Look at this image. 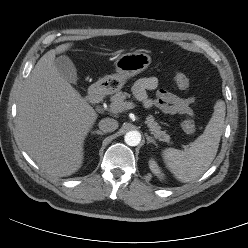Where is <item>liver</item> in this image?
Wrapping results in <instances>:
<instances>
[{
    "mask_svg": "<svg viewBox=\"0 0 248 248\" xmlns=\"http://www.w3.org/2000/svg\"><path fill=\"white\" fill-rule=\"evenodd\" d=\"M45 53L26 79L17 106L18 137L28 155L46 173L66 177L83 163V143L97 113L57 71L56 54Z\"/></svg>",
    "mask_w": 248,
    "mask_h": 248,
    "instance_id": "1",
    "label": "liver"
}]
</instances>
